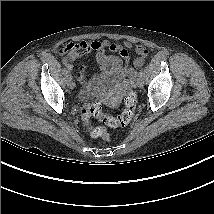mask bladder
<instances>
[{
    "label": "bladder",
    "mask_w": 214,
    "mask_h": 214,
    "mask_svg": "<svg viewBox=\"0 0 214 214\" xmlns=\"http://www.w3.org/2000/svg\"><path fill=\"white\" fill-rule=\"evenodd\" d=\"M121 73L122 71H108L100 72L93 78L92 81L86 83L79 91L80 94H90L91 92H97L100 94H107L110 92H116L121 85Z\"/></svg>",
    "instance_id": "31cf9c89"
}]
</instances>
